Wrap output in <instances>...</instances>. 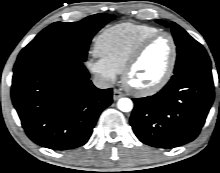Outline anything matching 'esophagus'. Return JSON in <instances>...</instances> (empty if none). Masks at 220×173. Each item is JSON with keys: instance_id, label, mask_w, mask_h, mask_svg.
Wrapping results in <instances>:
<instances>
[{"instance_id": "34e87169", "label": "esophagus", "mask_w": 220, "mask_h": 173, "mask_svg": "<svg viewBox=\"0 0 220 173\" xmlns=\"http://www.w3.org/2000/svg\"><path fill=\"white\" fill-rule=\"evenodd\" d=\"M124 96V93L121 92L120 90L118 89H114L113 91V99L116 101L118 100L119 98L123 97Z\"/></svg>"}]
</instances>
